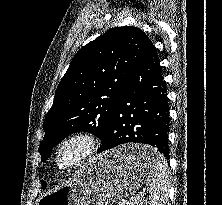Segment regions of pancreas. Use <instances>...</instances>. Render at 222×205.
Listing matches in <instances>:
<instances>
[{"label": "pancreas", "instance_id": "1", "mask_svg": "<svg viewBox=\"0 0 222 205\" xmlns=\"http://www.w3.org/2000/svg\"><path fill=\"white\" fill-rule=\"evenodd\" d=\"M118 205H133V204H129V203H125V202H119Z\"/></svg>", "mask_w": 222, "mask_h": 205}]
</instances>
